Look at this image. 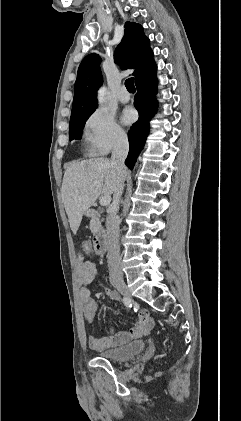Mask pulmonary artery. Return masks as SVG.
Masks as SVG:
<instances>
[{
  "instance_id": "pulmonary-artery-1",
  "label": "pulmonary artery",
  "mask_w": 241,
  "mask_h": 421,
  "mask_svg": "<svg viewBox=\"0 0 241 421\" xmlns=\"http://www.w3.org/2000/svg\"><path fill=\"white\" fill-rule=\"evenodd\" d=\"M118 100L122 103H126L130 100V94L127 92L125 88H123L117 96Z\"/></svg>"
}]
</instances>
